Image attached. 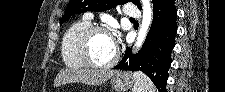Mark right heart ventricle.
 I'll return each instance as SVG.
<instances>
[{
    "label": "right heart ventricle",
    "instance_id": "e07e8e85",
    "mask_svg": "<svg viewBox=\"0 0 225 92\" xmlns=\"http://www.w3.org/2000/svg\"><path fill=\"white\" fill-rule=\"evenodd\" d=\"M90 26V21L85 17L72 22L64 31L61 44L60 54L63 63L66 66L81 69L85 67L75 48V43L80 33Z\"/></svg>",
    "mask_w": 225,
    "mask_h": 92
}]
</instances>
